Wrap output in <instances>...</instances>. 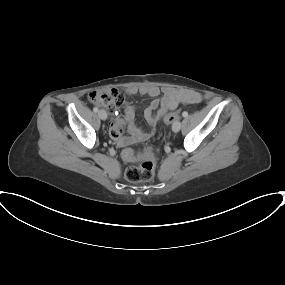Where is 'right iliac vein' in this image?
I'll list each match as a JSON object with an SVG mask.
<instances>
[{
	"label": "right iliac vein",
	"mask_w": 285,
	"mask_h": 285,
	"mask_svg": "<svg viewBox=\"0 0 285 285\" xmlns=\"http://www.w3.org/2000/svg\"><path fill=\"white\" fill-rule=\"evenodd\" d=\"M98 116L101 120H106L107 119V113L104 110H100L98 112Z\"/></svg>",
	"instance_id": "1"
}]
</instances>
